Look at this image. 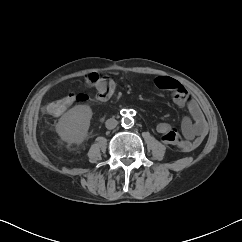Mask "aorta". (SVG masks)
<instances>
[{
	"label": "aorta",
	"mask_w": 242,
	"mask_h": 242,
	"mask_svg": "<svg viewBox=\"0 0 242 242\" xmlns=\"http://www.w3.org/2000/svg\"><path fill=\"white\" fill-rule=\"evenodd\" d=\"M121 122L124 128H128L134 124V119L132 118V115L130 113H125L123 114Z\"/></svg>",
	"instance_id": "1"
}]
</instances>
